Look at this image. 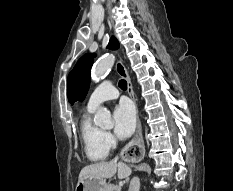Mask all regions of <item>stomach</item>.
Masks as SVG:
<instances>
[{"label": "stomach", "instance_id": "1", "mask_svg": "<svg viewBox=\"0 0 233 191\" xmlns=\"http://www.w3.org/2000/svg\"><path fill=\"white\" fill-rule=\"evenodd\" d=\"M107 186L105 179L85 178L78 181L75 191H106Z\"/></svg>", "mask_w": 233, "mask_h": 191}]
</instances>
